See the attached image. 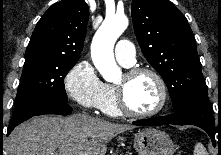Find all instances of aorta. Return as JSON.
<instances>
[{"label": "aorta", "mask_w": 221, "mask_h": 155, "mask_svg": "<svg viewBox=\"0 0 221 155\" xmlns=\"http://www.w3.org/2000/svg\"><path fill=\"white\" fill-rule=\"evenodd\" d=\"M128 23V18L124 15L108 17L93 38L91 57L95 67L106 81L113 82L120 76L113 48L116 40L128 27Z\"/></svg>", "instance_id": "obj_1"}]
</instances>
